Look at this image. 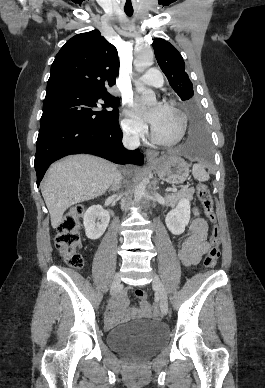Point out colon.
I'll return each instance as SVG.
<instances>
[{
	"mask_svg": "<svg viewBox=\"0 0 265 388\" xmlns=\"http://www.w3.org/2000/svg\"><path fill=\"white\" fill-rule=\"evenodd\" d=\"M197 195L202 205L204 214L207 220L212 224V232L210 236V249L206 253L203 265L206 269H211L216 266L219 258L220 236L217 228V218L214 211V204L210 192V188L206 184H200L197 187ZM85 212L84 205H76L72 207L63 217L58 225V234L56 238L57 247L60 255L66 263L75 269H80L83 266L84 260L79 250L82 245L80 234L81 218ZM135 295L140 300L147 302L148 294L144 290L137 289Z\"/></svg>",
	"mask_w": 265,
	"mask_h": 388,
	"instance_id": "obj_1",
	"label": "colon"
}]
</instances>
